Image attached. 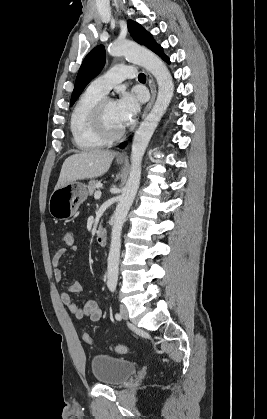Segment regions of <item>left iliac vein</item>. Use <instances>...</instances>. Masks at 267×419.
<instances>
[{"instance_id": "1", "label": "left iliac vein", "mask_w": 267, "mask_h": 419, "mask_svg": "<svg viewBox=\"0 0 267 419\" xmlns=\"http://www.w3.org/2000/svg\"><path fill=\"white\" fill-rule=\"evenodd\" d=\"M120 313H121V316L124 318V319H128V310H127V308L124 306V305H121V307H120Z\"/></svg>"}]
</instances>
